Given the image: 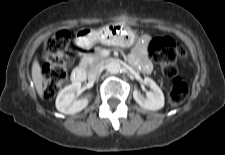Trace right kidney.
I'll use <instances>...</instances> for the list:
<instances>
[{
	"instance_id": "obj_1",
	"label": "right kidney",
	"mask_w": 225,
	"mask_h": 155,
	"mask_svg": "<svg viewBox=\"0 0 225 155\" xmlns=\"http://www.w3.org/2000/svg\"><path fill=\"white\" fill-rule=\"evenodd\" d=\"M81 88L80 82L72 83L63 88L56 98V108L64 114H75L82 111L89 103L88 98L75 100V92Z\"/></svg>"
}]
</instances>
